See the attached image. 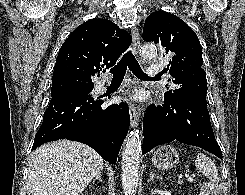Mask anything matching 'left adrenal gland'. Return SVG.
<instances>
[{"mask_svg":"<svg viewBox=\"0 0 245 195\" xmlns=\"http://www.w3.org/2000/svg\"><path fill=\"white\" fill-rule=\"evenodd\" d=\"M155 179H159V180H162V177H160V176H157L156 174H154L153 172H150V178H149V182L150 181H153V180H155Z\"/></svg>","mask_w":245,"mask_h":195,"instance_id":"1","label":"left adrenal gland"}]
</instances>
